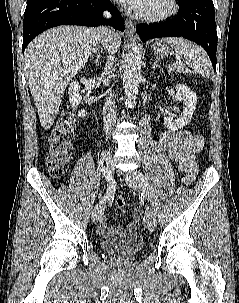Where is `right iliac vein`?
Instances as JSON below:
<instances>
[{
    "instance_id": "obj_1",
    "label": "right iliac vein",
    "mask_w": 239,
    "mask_h": 303,
    "mask_svg": "<svg viewBox=\"0 0 239 303\" xmlns=\"http://www.w3.org/2000/svg\"><path fill=\"white\" fill-rule=\"evenodd\" d=\"M111 170L114 171V163H113V160L111 158H107V160H106L105 174H106V171H111ZM106 180H107V178H106ZM104 208L105 207H104L103 204L99 205V206H96L94 208V210L92 212V220H93V222H98L100 220V218L102 217V215L104 213Z\"/></svg>"
}]
</instances>
